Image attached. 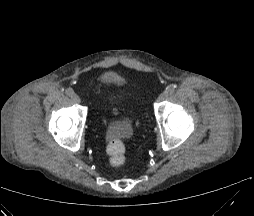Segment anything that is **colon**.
Returning a JSON list of instances; mask_svg holds the SVG:
<instances>
[{
	"mask_svg": "<svg viewBox=\"0 0 254 216\" xmlns=\"http://www.w3.org/2000/svg\"><path fill=\"white\" fill-rule=\"evenodd\" d=\"M109 162L113 166H121L125 162L126 147L122 138L112 135L107 144Z\"/></svg>",
	"mask_w": 254,
	"mask_h": 216,
	"instance_id": "1",
	"label": "colon"
}]
</instances>
